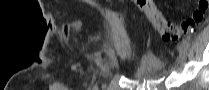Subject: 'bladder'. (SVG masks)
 <instances>
[{
	"label": "bladder",
	"mask_w": 209,
	"mask_h": 90,
	"mask_svg": "<svg viewBox=\"0 0 209 90\" xmlns=\"http://www.w3.org/2000/svg\"><path fill=\"white\" fill-rule=\"evenodd\" d=\"M165 65L152 55L144 56L137 63L134 77L137 79L155 80L163 76Z\"/></svg>",
	"instance_id": "1"
}]
</instances>
